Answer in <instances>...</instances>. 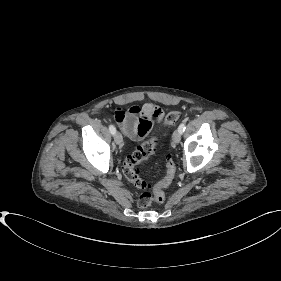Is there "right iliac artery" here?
<instances>
[{
    "label": "right iliac artery",
    "mask_w": 281,
    "mask_h": 281,
    "mask_svg": "<svg viewBox=\"0 0 281 281\" xmlns=\"http://www.w3.org/2000/svg\"><path fill=\"white\" fill-rule=\"evenodd\" d=\"M109 131L111 132L112 135H114L116 132V128L113 125H109Z\"/></svg>",
    "instance_id": "right-iliac-artery-1"
}]
</instances>
